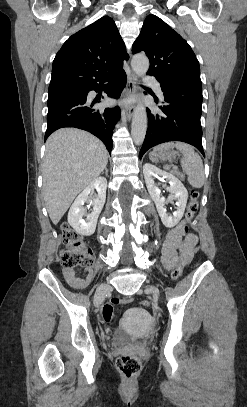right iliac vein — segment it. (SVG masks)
I'll return each instance as SVG.
<instances>
[{"label": "right iliac vein", "mask_w": 247, "mask_h": 407, "mask_svg": "<svg viewBox=\"0 0 247 407\" xmlns=\"http://www.w3.org/2000/svg\"><path fill=\"white\" fill-rule=\"evenodd\" d=\"M111 291V286L108 283L100 284L96 290L94 304L99 307L105 299L106 294Z\"/></svg>", "instance_id": "right-iliac-vein-1"}]
</instances>
